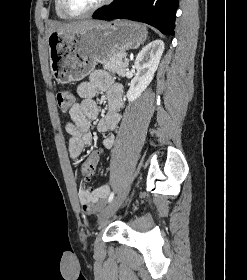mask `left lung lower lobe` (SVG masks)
I'll return each instance as SVG.
<instances>
[{"mask_svg":"<svg viewBox=\"0 0 247 280\" xmlns=\"http://www.w3.org/2000/svg\"><path fill=\"white\" fill-rule=\"evenodd\" d=\"M178 0H114L94 19H130L154 26L165 35H174Z\"/></svg>","mask_w":247,"mask_h":280,"instance_id":"left-lung-lower-lobe-1","label":"left lung lower lobe"}]
</instances>
